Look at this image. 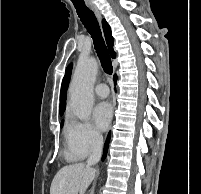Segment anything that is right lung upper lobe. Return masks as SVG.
I'll use <instances>...</instances> for the list:
<instances>
[{
  "mask_svg": "<svg viewBox=\"0 0 201 194\" xmlns=\"http://www.w3.org/2000/svg\"><path fill=\"white\" fill-rule=\"evenodd\" d=\"M102 26H103V30H104V34H105V38H106V42H107V45L109 48L110 55L112 58H115L116 54L113 50L114 39L112 37L110 26L104 19L102 20ZM71 71H72V64H70L67 67L65 76L62 81V87H61V92H60V115H62L65 111L66 92H67V88H68V84H69V80H70V76H71Z\"/></svg>",
  "mask_w": 201,
  "mask_h": 194,
  "instance_id": "cb5924a9",
  "label": "right lung upper lobe"
}]
</instances>
